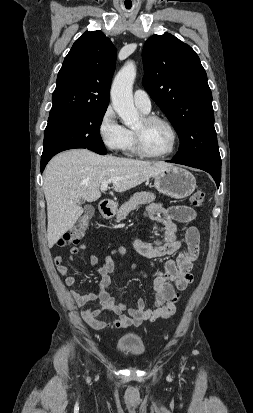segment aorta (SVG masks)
<instances>
[{
    "label": "aorta",
    "instance_id": "1",
    "mask_svg": "<svg viewBox=\"0 0 253 413\" xmlns=\"http://www.w3.org/2000/svg\"><path fill=\"white\" fill-rule=\"evenodd\" d=\"M136 77V65L128 61L117 73L111 86V100L114 110L123 123L132 127L139 123L140 114L133 101V83Z\"/></svg>",
    "mask_w": 253,
    "mask_h": 413
}]
</instances>
